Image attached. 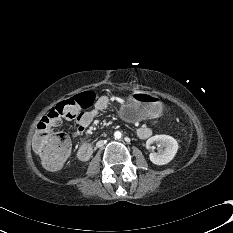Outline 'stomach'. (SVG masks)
I'll list each match as a JSON object with an SVG mask.
<instances>
[{
    "mask_svg": "<svg viewBox=\"0 0 233 233\" xmlns=\"http://www.w3.org/2000/svg\"><path fill=\"white\" fill-rule=\"evenodd\" d=\"M162 113V103L157 96L137 91L130 95L127 103L119 111L120 117L127 122L142 121L157 117Z\"/></svg>",
    "mask_w": 233,
    "mask_h": 233,
    "instance_id": "0dacf381",
    "label": "stomach"
}]
</instances>
